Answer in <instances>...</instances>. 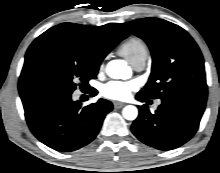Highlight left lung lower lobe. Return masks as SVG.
Segmentation results:
<instances>
[{
  "label": "left lung lower lobe",
  "mask_w": 220,
  "mask_h": 173,
  "mask_svg": "<svg viewBox=\"0 0 220 173\" xmlns=\"http://www.w3.org/2000/svg\"><path fill=\"white\" fill-rule=\"evenodd\" d=\"M136 99L143 102L147 98L137 94ZM205 104L185 98L164 99L154 114L147 106H139L131 130L141 142L156 149L178 148L197 131Z\"/></svg>",
  "instance_id": "0a47b994"
}]
</instances>
